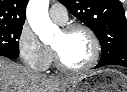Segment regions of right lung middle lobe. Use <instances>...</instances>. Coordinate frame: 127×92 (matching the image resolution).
Instances as JSON below:
<instances>
[{
    "label": "right lung middle lobe",
    "instance_id": "dd1d6c3e",
    "mask_svg": "<svg viewBox=\"0 0 127 92\" xmlns=\"http://www.w3.org/2000/svg\"><path fill=\"white\" fill-rule=\"evenodd\" d=\"M23 25L0 26V53L19 55V41Z\"/></svg>",
    "mask_w": 127,
    "mask_h": 92
}]
</instances>
